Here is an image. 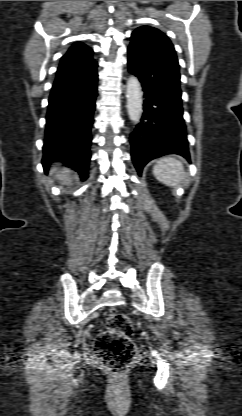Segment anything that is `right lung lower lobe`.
I'll return each mask as SVG.
<instances>
[{"instance_id": "1", "label": "right lung lower lobe", "mask_w": 242, "mask_h": 416, "mask_svg": "<svg viewBox=\"0 0 242 416\" xmlns=\"http://www.w3.org/2000/svg\"><path fill=\"white\" fill-rule=\"evenodd\" d=\"M97 81L96 68L84 77L55 80L46 116L45 171L53 161H61L77 171L81 180L88 178Z\"/></svg>"}]
</instances>
